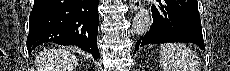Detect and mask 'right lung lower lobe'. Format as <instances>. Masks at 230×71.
I'll use <instances>...</instances> for the list:
<instances>
[{
	"instance_id": "right-lung-lower-lobe-1",
	"label": "right lung lower lobe",
	"mask_w": 230,
	"mask_h": 71,
	"mask_svg": "<svg viewBox=\"0 0 230 71\" xmlns=\"http://www.w3.org/2000/svg\"><path fill=\"white\" fill-rule=\"evenodd\" d=\"M98 0H35L29 17V53L45 43L76 45L95 59L97 47Z\"/></svg>"
}]
</instances>
